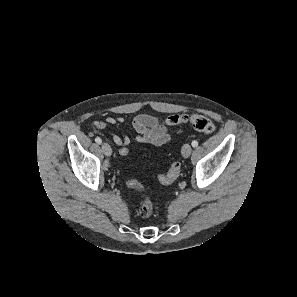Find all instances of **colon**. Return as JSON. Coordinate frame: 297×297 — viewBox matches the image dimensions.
Here are the masks:
<instances>
[{"instance_id": "colon-1", "label": "colon", "mask_w": 297, "mask_h": 297, "mask_svg": "<svg viewBox=\"0 0 297 297\" xmlns=\"http://www.w3.org/2000/svg\"><path fill=\"white\" fill-rule=\"evenodd\" d=\"M162 124L165 126H182L190 125L196 131L209 135L212 134L215 130L214 123L206 116L201 114H192V115H171L166 119L162 120ZM118 156L126 158L129 155L128 148L126 146H121L117 151ZM181 169V164L179 162H173L170 166L169 171L164 175H159L158 180L162 184H170L176 180ZM126 184L129 188L135 191H143L144 187L141 182L134 178H129L126 181ZM153 212V205L151 200L148 197H145L143 200L139 213L142 217H149Z\"/></svg>"}]
</instances>
